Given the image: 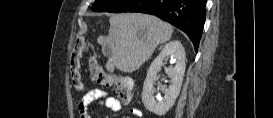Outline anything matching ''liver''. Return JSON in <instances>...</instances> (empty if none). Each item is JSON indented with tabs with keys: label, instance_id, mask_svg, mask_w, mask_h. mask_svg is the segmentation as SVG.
Wrapping results in <instances>:
<instances>
[{
	"label": "liver",
	"instance_id": "1",
	"mask_svg": "<svg viewBox=\"0 0 273 118\" xmlns=\"http://www.w3.org/2000/svg\"><path fill=\"white\" fill-rule=\"evenodd\" d=\"M105 43L112 53L106 69L133 72L147 61L159 44L172 37L173 27L159 18L141 13L114 14Z\"/></svg>",
	"mask_w": 273,
	"mask_h": 118
}]
</instances>
